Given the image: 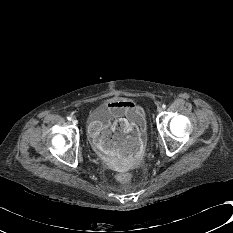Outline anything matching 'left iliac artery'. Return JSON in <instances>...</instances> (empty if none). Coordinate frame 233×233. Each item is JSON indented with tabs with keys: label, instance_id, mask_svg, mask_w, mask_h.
Here are the masks:
<instances>
[{
	"label": "left iliac artery",
	"instance_id": "obj_1",
	"mask_svg": "<svg viewBox=\"0 0 233 233\" xmlns=\"http://www.w3.org/2000/svg\"><path fill=\"white\" fill-rule=\"evenodd\" d=\"M162 107H163V108H166V105H165V104H163V105H162Z\"/></svg>",
	"mask_w": 233,
	"mask_h": 233
}]
</instances>
